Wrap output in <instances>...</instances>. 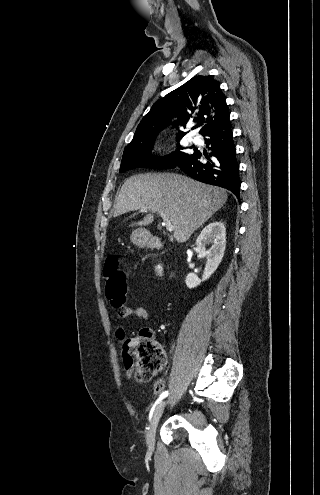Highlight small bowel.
<instances>
[{
	"mask_svg": "<svg viewBox=\"0 0 320 495\" xmlns=\"http://www.w3.org/2000/svg\"><path fill=\"white\" fill-rule=\"evenodd\" d=\"M118 314H119V317L121 318H127V317H130V316H135V317H138V318H141L145 321H149L150 320V317H149V314L147 312V310L143 307H129V306H125L123 308L122 311H118ZM123 330L121 327H117L116 329V336L119 338V339H122L123 338ZM125 364V369H126V376L127 378L129 379V381H131L132 383H134L133 381V368H132V363H126L124 362Z\"/></svg>",
	"mask_w": 320,
	"mask_h": 495,
	"instance_id": "obj_1",
	"label": "small bowel"
}]
</instances>
